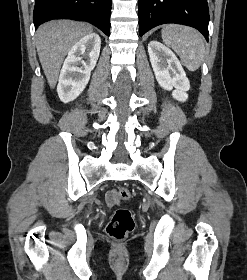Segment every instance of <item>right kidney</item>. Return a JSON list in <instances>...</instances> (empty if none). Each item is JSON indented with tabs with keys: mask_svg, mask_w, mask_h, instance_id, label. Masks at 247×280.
Listing matches in <instances>:
<instances>
[{
	"mask_svg": "<svg viewBox=\"0 0 247 280\" xmlns=\"http://www.w3.org/2000/svg\"><path fill=\"white\" fill-rule=\"evenodd\" d=\"M100 46L99 35L90 33L69 50L57 86L58 96L62 102L73 101L85 89L90 79V73L97 63Z\"/></svg>",
	"mask_w": 247,
	"mask_h": 280,
	"instance_id": "right-kidney-1",
	"label": "right kidney"
}]
</instances>
